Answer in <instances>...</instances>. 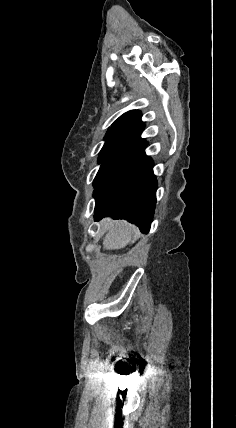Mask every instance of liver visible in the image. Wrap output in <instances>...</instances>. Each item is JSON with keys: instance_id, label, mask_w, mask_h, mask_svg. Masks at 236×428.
<instances>
[{"instance_id": "1", "label": "liver", "mask_w": 236, "mask_h": 428, "mask_svg": "<svg viewBox=\"0 0 236 428\" xmlns=\"http://www.w3.org/2000/svg\"><path fill=\"white\" fill-rule=\"evenodd\" d=\"M104 228L108 230L104 240L103 248L104 250H121L128 246L137 232V228L128 224L125 220H116V222H110V220H104Z\"/></svg>"}]
</instances>
